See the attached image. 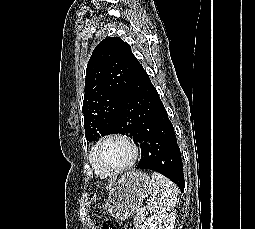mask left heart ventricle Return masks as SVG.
Segmentation results:
<instances>
[{
  "instance_id": "b2bd125f",
  "label": "left heart ventricle",
  "mask_w": 255,
  "mask_h": 229,
  "mask_svg": "<svg viewBox=\"0 0 255 229\" xmlns=\"http://www.w3.org/2000/svg\"><path fill=\"white\" fill-rule=\"evenodd\" d=\"M132 156L131 149L120 140L105 142L98 150L97 159L102 165L114 169L127 164Z\"/></svg>"
}]
</instances>
